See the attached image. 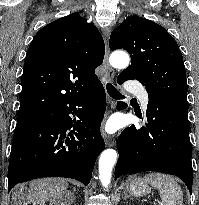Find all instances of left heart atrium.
<instances>
[{"mask_svg": "<svg viewBox=\"0 0 199 205\" xmlns=\"http://www.w3.org/2000/svg\"><path fill=\"white\" fill-rule=\"evenodd\" d=\"M117 129V124L114 121H111L107 124L106 130L108 132H114Z\"/></svg>", "mask_w": 199, "mask_h": 205, "instance_id": "1", "label": "left heart atrium"}]
</instances>
